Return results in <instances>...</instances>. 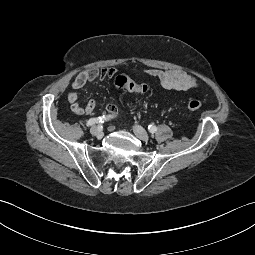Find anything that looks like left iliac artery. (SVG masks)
Returning a JSON list of instances; mask_svg holds the SVG:
<instances>
[{
    "instance_id": "left-iliac-artery-1",
    "label": "left iliac artery",
    "mask_w": 255,
    "mask_h": 255,
    "mask_svg": "<svg viewBox=\"0 0 255 255\" xmlns=\"http://www.w3.org/2000/svg\"><path fill=\"white\" fill-rule=\"evenodd\" d=\"M148 130L150 133H155L157 131V128L154 125H149Z\"/></svg>"
}]
</instances>
